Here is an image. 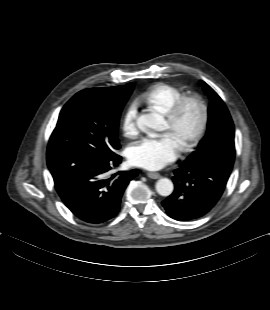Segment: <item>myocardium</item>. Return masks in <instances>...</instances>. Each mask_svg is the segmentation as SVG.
I'll use <instances>...</instances> for the list:
<instances>
[{
    "instance_id": "myocardium-1",
    "label": "myocardium",
    "mask_w": 270,
    "mask_h": 310,
    "mask_svg": "<svg viewBox=\"0 0 270 310\" xmlns=\"http://www.w3.org/2000/svg\"><path fill=\"white\" fill-rule=\"evenodd\" d=\"M190 105L199 111V123L194 133L182 141L181 148L184 151L191 150L204 135L208 124V107L199 95H184L166 114V120L170 127H175L180 121L183 113Z\"/></svg>"
}]
</instances>
